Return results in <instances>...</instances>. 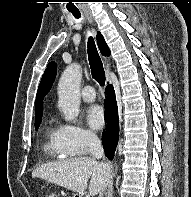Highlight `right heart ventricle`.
I'll return each mask as SVG.
<instances>
[{"instance_id": "1", "label": "right heart ventricle", "mask_w": 191, "mask_h": 197, "mask_svg": "<svg viewBox=\"0 0 191 197\" xmlns=\"http://www.w3.org/2000/svg\"><path fill=\"white\" fill-rule=\"evenodd\" d=\"M42 148L46 155L56 159H65L69 156L65 154L61 148L59 128H56L51 124H47L44 128Z\"/></svg>"}]
</instances>
